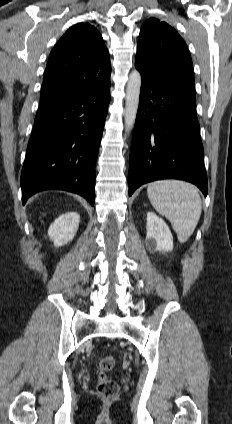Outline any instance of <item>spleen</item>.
Returning <instances> with one entry per match:
<instances>
[{
    "label": "spleen",
    "mask_w": 232,
    "mask_h": 424,
    "mask_svg": "<svg viewBox=\"0 0 232 424\" xmlns=\"http://www.w3.org/2000/svg\"><path fill=\"white\" fill-rule=\"evenodd\" d=\"M147 194L155 210L171 222L178 240L186 242L202 211L197 188L185 181L167 179L150 183Z\"/></svg>",
    "instance_id": "spleen-1"
}]
</instances>
